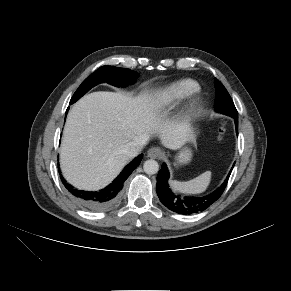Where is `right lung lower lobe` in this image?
Here are the masks:
<instances>
[{"mask_svg":"<svg viewBox=\"0 0 291 291\" xmlns=\"http://www.w3.org/2000/svg\"><path fill=\"white\" fill-rule=\"evenodd\" d=\"M68 110V109H67ZM143 155L136 157L129 163L120 175L106 188L100 191H84L70 185L62 176L61 180L65 188L70 192L72 197L84 208L91 211H100L110 207L118 198L123 183L132 173V171L140 164ZM59 173H61L59 171Z\"/></svg>","mask_w":291,"mask_h":291,"instance_id":"obj_1","label":"right lung lower lobe"}]
</instances>
